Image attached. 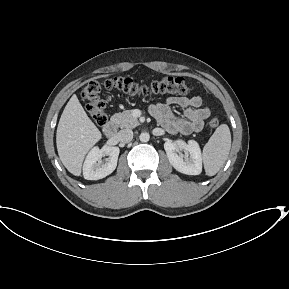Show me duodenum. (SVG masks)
<instances>
[{"instance_id":"1","label":"duodenum","mask_w":289,"mask_h":289,"mask_svg":"<svg viewBox=\"0 0 289 289\" xmlns=\"http://www.w3.org/2000/svg\"><path fill=\"white\" fill-rule=\"evenodd\" d=\"M116 133V124L114 122H108L104 127V134L107 138H113Z\"/></svg>"}]
</instances>
